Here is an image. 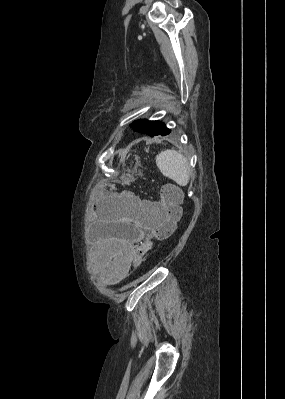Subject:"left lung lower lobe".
Masks as SVG:
<instances>
[{
    "label": "left lung lower lobe",
    "instance_id": "left-lung-lower-lobe-1",
    "mask_svg": "<svg viewBox=\"0 0 285 399\" xmlns=\"http://www.w3.org/2000/svg\"><path fill=\"white\" fill-rule=\"evenodd\" d=\"M169 133H170V132H169ZM169 133H168V134H169ZM168 134H166V135H168ZM166 135H164V136H166ZM151 137H153V136H151Z\"/></svg>",
    "mask_w": 285,
    "mask_h": 399
}]
</instances>
